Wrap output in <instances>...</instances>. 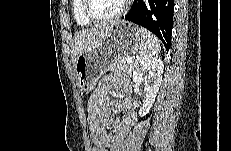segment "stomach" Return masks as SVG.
I'll use <instances>...</instances> for the list:
<instances>
[{
  "instance_id": "0dacf381",
  "label": "stomach",
  "mask_w": 231,
  "mask_h": 151,
  "mask_svg": "<svg viewBox=\"0 0 231 151\" xmlns=\"http://www.w3.org/2000/svg\"><path fill=\"white\" fill-rule=\"evenodd\" d=\"M142 44L139 28L127 21H117L101 44L81 54L75 64L78 87L82 92L92 91L100 77L121 56L138 51Z\"/></svg>"
}]
</instances>
